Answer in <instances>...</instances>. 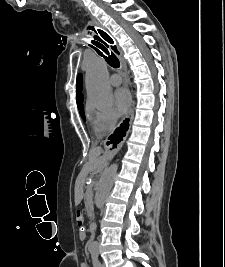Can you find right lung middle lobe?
<instances>
[{
	"mask_svg": "<svg viewBox=\"0 0 225 267\" xmlns=\"http://www.w3.org/2000/svg\"><path fill=\"white\" fill-rule=\"evenodd\" d=\"M80 110V115L82 116V118L85 120V115H84V111L83 108L79 109Z\"/></svg>",
	"mask_w": 225,
	"mask_h": 267,
	"instance_id": "dd1d6c3e",
	"label": "right lung middle lobe"
}]
</instances>
